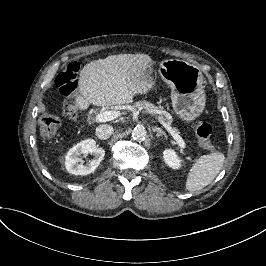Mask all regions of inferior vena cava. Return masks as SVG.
<instances>
[{
	"instance_id": "inferior-vena-cava-1",
	"label": "inferior vena cava",
	"mask_w": 266,
	"mask_h": 266,
	"mask_svg": "<svg viewBox=\"0 0 266 266\" xmlns=\"http://www.w3.org/2000/svg\"><path fill=\"white\" fill-rule=\"evenodd\" d=\"M113 133V127L108 124H101L96 127L95 134L99 139H108Z\"/></svg>"
}]
</instances>
